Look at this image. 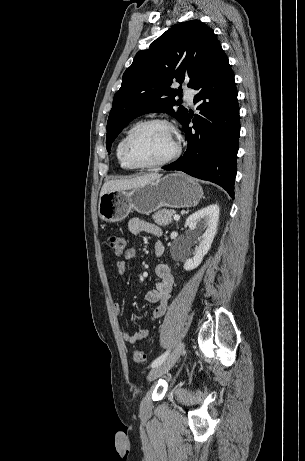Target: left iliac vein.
Returning a JSON list of instances; mask_svg holds the SVG:
<instances>
[{
    "label": "left iliac vein",
    "mask_w": 305,
    "mask_h": 461,
    "mask_svg": "<svg viewBox=\"0 0 305 461\" xmlns=\"http://www.w3.org/2000/svg\"><path fill=\"white\" fill-rule=\"evenodd\" d=\"M185 344L180 343L174 351L160 365L154 367L148 374L147 379L153 381L170 370L182 354Z\"/></svg>",
    "instance_id": "4c4485c4"
}]
</instances>
